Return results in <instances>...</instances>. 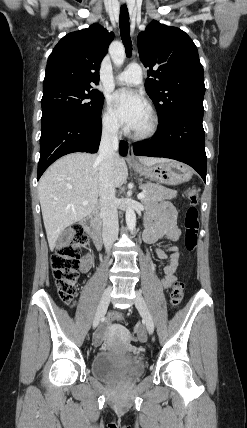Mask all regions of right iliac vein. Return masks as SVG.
I'll list each match as a JSON object with an SVG mask.
<instances>
[{
    "label": "right iliac vein",
    "instance_id": "right-iliac-vein-1",
    "mask_svg": "<svg viewBox=\"0 0 247 428\" xmlns=\"http://www.w3.org/2000/svg\"><path fill=\"white\" fill-rule=\"evenodd\" d=\"M111 290H112V287L108 286L102 295V298H101L100 303L98 305V308H97V311L95 314V318L93 321V327L94 328L99 324L100 319L104 316V314L107 311V308H108V305L110 302Z\"/></svg>",
    "mask_w": 247,
    "mask_h": 428
}]
</instances>
